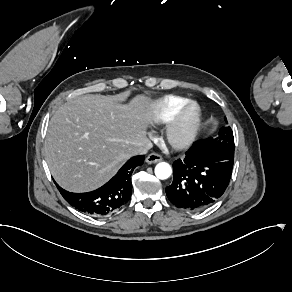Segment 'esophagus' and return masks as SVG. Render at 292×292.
Listing matches in <instances>:
<instances>
[{"label": "esophagus", "instance_id": "34e87169", "mask_svg": "<svg viewBox=\"0 0 292 292\" xmlns=\"http://www.w3.org/2000/svg\"><path fill=\"white\" fill-rule=\"evenodd\" d=\"M162 160V156L158 153H151L146 157V162L149 164L157 163Z\"/></svg>", "mask_w": 292, "mask_h": 292}]
</instances>
